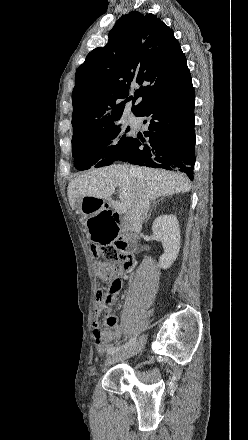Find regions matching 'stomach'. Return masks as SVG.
Masks as SVG:
<instances>
[{
  "mask_svg": "<svg viewBox=\"0 0 248 440\" xmlns=\"http://www.w3.org/2000/svg\"><path fill=\"white\" fill-rule=\"evenodd\" d=\"M102 200L83 197L77 201L78 218H87V235L90 246H109L115 241L117 228L110 209H102Z\"/></svg>",
  "mask_w": 248,
  "mask_h": 440,
  "instance_id": "obj_1",
  "label": "stomach"
}]
</instances>
